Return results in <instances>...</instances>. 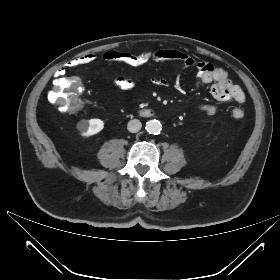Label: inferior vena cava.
I'll return each mask as SVG.
<instances>
[{"mask_svg": "<svg viewBox=\"0 0 280 280\" xmlns=\"http://www.w3.org/2000/svg\"><path fill=\"white\" fill-rule=\"evenodd\" d=\"M141 127H142V124L138 119L130 120L127 125V129L131 133H136V132L140 131Z\"/></svg>", "mask_w": 280, "mask_h": 280, "instance_id": "1", "label": "inferior vena cava"}]
</instances>
